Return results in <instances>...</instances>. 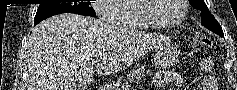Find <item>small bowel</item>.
<instances>
[{
    "label": "small bowel",
    "mask_w": 237,
    "mask_h": 90,
    "mask_svg": "<svg viewBox=\"0 0 237 90\" xmlns=\"http://www.w3.org/2000/svg\"><path fill=\"white\" fill-rule=\"evenodd\" d=\"M200 69L205 74L201 81V89L217 90V81L212 75H210L212 65L205 62L200 65ZM182 81L180 74L170 70H161L153 77V84L156 88H165L170 85L179 87L182 84Z\"/></svg>",
    "instance_id": "1"
}]
</instances>
